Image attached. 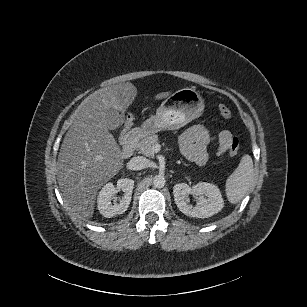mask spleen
<instances>
[{"label":"spleen","instance_id":"spleen-1","mask_svg":"<svg viewBox=\"0 0 307 307\" xmlns=\"http://www.w3.org/2000/svg\"><path fill=\"white\" fill-rule=\"evenodd\" d=\"M255 188L253 161L244 155L235 171L226 180V196L230 203H238L248 192Z\"/></svg>","mask_w":307,"mask_h":307}]
</instances>
